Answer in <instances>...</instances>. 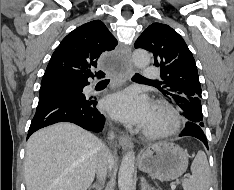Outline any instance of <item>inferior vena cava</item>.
Returning <instances> with one entry per match:
<instances>
[{"label": "inferior vena cava", "mask_w": 234, "mask_h": 190, "mask_svg": "<svg viewBox=\"0 0 234 190\" xmlns=\"http://www.w3.org/2000/svg\"><path fill=\"white\" fill-rule=\"evenodd\" d=\"M113 137L114 135L113 133H111L110 138L112 139ZM110 159H111V153L109 152L107 147H105L99 156L97 170H96L97 178L101 182L105 180V177L107 175V171L110 167Z\"/></svg>", "instance_id": "602c4592"}]
</instances>
